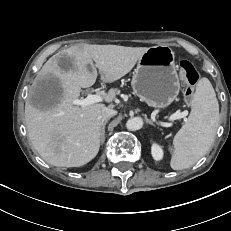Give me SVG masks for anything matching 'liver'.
I'll return each instance as SVG.
<instances>
[{
  "mask_svg": "<svg viewBox=\"0 0 231 231\" xmlns=\"http://www.w3.org/2000/svg\"><path fill=\"white\" fill-rule=\"evenodd\" d=\"M147 47L119 45H74L61 50L43 65L35 79L56 81L60 88L54 102L42 109L25 104L28 137L35 150L49 164L79 167L90 162L100 148L102 103L81 107L72 103L80 96L81 88L92 86L97 79L112 83L131 71ZM95 62V64L93 63ZM117 94L111 88L104 96L112 102Z\"/></svg>",
  "mask_w": 231,
  "mask_h": 231,
  "instance_id": "obj_1",
  "label": "liver"
}]
</instances>
